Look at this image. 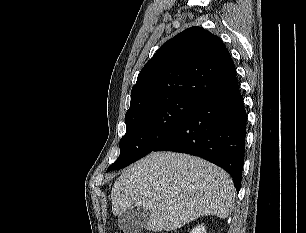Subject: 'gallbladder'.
I'll list each match as a JSON object with an SVG mask.
<instances>
[{"mask_svg": "<svg viewBox=\"0 0 306 233\" xmlns=\"http://www.w3.org/2000/svg\"><path fill=\"white\" fill-rule=\"evenodd\" d=\"M148 219L149 211L146 208L133 205L119 217L118 224L125 233H139Z\"/></svg>", "mask_w": 306, "mask_h": 233, "instance_id": "obj_1", "label": "gallbladder"}]
</instances>
